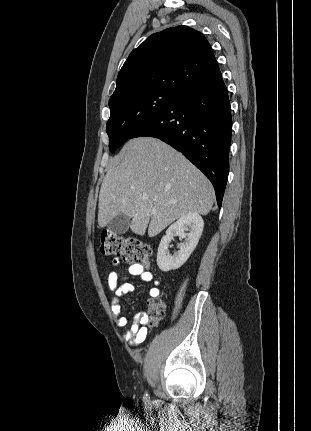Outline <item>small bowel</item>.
<instances>
[{
	"label": "small bowel",
	"mask_w": 311,
	"mask_h": 431,
	"mask_svg": "<svg viewBox=\"0 0 311 431\" xmlns=\"http://www.w3.org/2000/svg\"><path fill=\"white\" fill-rule=\"evenodd\" d=\"M119 263L120 261L118 259L113 260L114 266H118ZM128 272L133 276H139L143 282L148 283L153 281V274L140 264L130 265ZM106 281L109 288L114 291V297L112 299V313L116 318V323L119 327H126L128 325V319L121 315V299L126 294L134 291V285L131 283L119 284V274L117 271H108L106 274ZM158 295L159 290L157 288H152L150 290L151 297H157ZM145 322V314H138L131 327L123 333L124 339L129 341L131 344H139L143 342L147 335V329L142 326Z\"/></svg>",
	"instance_id": "small-bowel-1"
}]
</instances>
